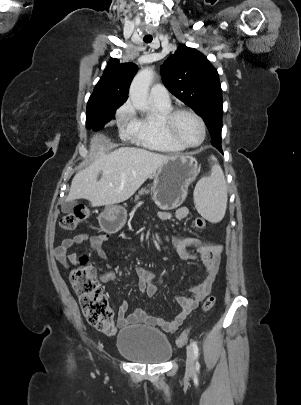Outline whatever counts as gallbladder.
Masks as SVG:
<instances>
[{"mask_svg":"<svg viewBox=\"0 0 301 405\" xmlns=\"http://www.w3.org/2000/svg\"><path fill=\"white\" fill-rule=\"evenodd\" d=\"M78 202L76 200L66 201L61 206V211L63 213H70L77 206Z\"/></svg>","mask_w":301,"mask_h":405,"instance_id":"gallbladder-1","label":"gallbladder"}]
</instances>
